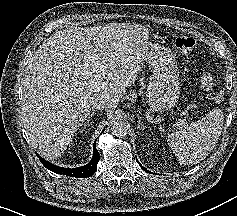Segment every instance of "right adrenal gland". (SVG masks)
<instances>
[{
  "mask_svg": "<svg viewBox=\"0 0 237 216\" xmlns=\"http://www.w3.org/2000/svg\"><path fill=\"white\" fill-rule=\"evenodd\" d=\"M92 123H93V120H92V114H91V116L84 123V129H86L87 126L89 127Z\"/></svg>",
  "mask_w": 237,
  "mask_h": 216,
  "instance_id": "obj_1",
  "label": "right adrenal gland"
}]
</instances>
